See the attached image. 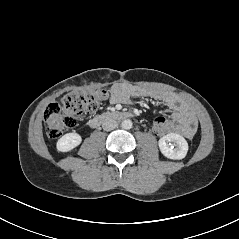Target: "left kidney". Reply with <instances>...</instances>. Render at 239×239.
<instances>
[{
    "mask_svg": "<svg viewBox=\"0 0 239 239\" xmlns=\"http://www.w3.org/2000/svg\"><path fill=\"white\" fill-rule=\"evenodd\" d=\"M158 145L161 153L173 160L183 159L188 152V143L179 134L169 133L159 139Z\"/></svg>",
    "mask_w": 239,
    "mask_h": 239,
    "instance_id": "5707ae66",
    "label": "left kidney"
}]
</instances>
